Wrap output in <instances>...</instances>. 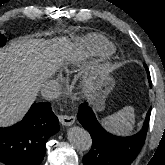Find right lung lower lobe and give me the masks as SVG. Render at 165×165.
Listing matches in <instances>:
<instances>
[{
    "instance_id": "1",
    "label": "right lung lower lobe",
    "mask_w": 165,
    "mask_h": 165,
    "mask_svg": "<svg viewBox=\"0 0 165 165\" xmlns=\"http://www.w3.org/2000/svg\"><path fill=\"white\" fill-rule=\"evenodd\" d=\"M59 131L50 103H34L22 121L0 128V162L6 165H39L49 137Z\"/></svg>"
}]
</instances>
